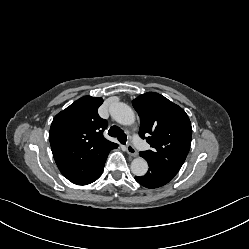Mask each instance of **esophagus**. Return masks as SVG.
Wrapping results in <instances>:
<instances>
[{
    "mask_svg": "<svg viewBox=\"0 0 249 249\" xmlns=\"http://www.w3.org/2000/svg\"><path fill=\"white\" fill-rule=\"evenodd\" d=\"M126 151L130 156H133V157L137 156L138 154L136 151V148L134 147L132 143L127 144Z\"/></svg>",
    "mask_w": 249,
    "mask_h": 249,
    "instance_id": "1",
    "label": "esophagus"
}]
</instances>
